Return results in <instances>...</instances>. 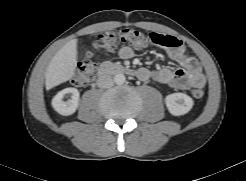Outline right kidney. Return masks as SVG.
I'll return each instance as SVG.
<instances>
[{"instance_id":"right-kidney-1","label":"right kidney","mask_w":246,"mask_h":181,"mask_svg":"<svg viewBox=\"0 0 246 181\" xmlns=\"http://www.w3.org/2000/svg\"><path fill=\"white\" fill-rule=\"evenodd\" d=\"M66 94H71V99L68 101H63V97ZM79 92L75 88H66L60 91L52 99V107L56 112L63 116H69L75 113L79 105Z\"/></svg>"}]
</instances>
